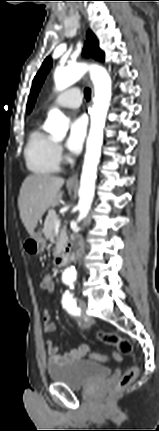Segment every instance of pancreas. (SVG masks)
I'll list each match as a JSON object with an SVG mask.
<instances>
[{
    "label": "pancreas",
    "instance_id": "cf45deb5",
    "mask_svg": "<svg viewBox=\"0 0 159 431\" xmlns=\"http://www.w3.org/2000/svg\"><path fill=\"white\" fill-rule=\"evenodd\" d=\"M58 219V215L53 209H50L48 211V214L45 219L43 233L47 239H50L52 242H54V236H55V220ZM66 233L65 228L60 230L59 238L56 242V249H60L66 242ZM56 253V252H54Z\"/></svg>",
    "mask_w": 159,
    "mask_h": 431
}]
</instances>
